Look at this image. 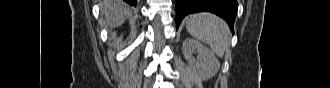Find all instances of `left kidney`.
I'll list each match as a JSON object with an SVG mask.
<instances>
[{"label": "left kidney", "instance_id": "1", "mask_svg": "<svg viewBox=\"0 0 330 88\" xmlns=\"http://www.w3.org/2000/svg\"><path fill=\"white\" fill-rule=\"evenodd\" d=\"M197 52V58L193 53ZM182 53L188 61L189 67L202 80H207L216 75L220 69V63L214 53L200 42L187 38L182 44Z\"/></svg>", "mask_w": 330, "mask_h": 88}]
</instances>
